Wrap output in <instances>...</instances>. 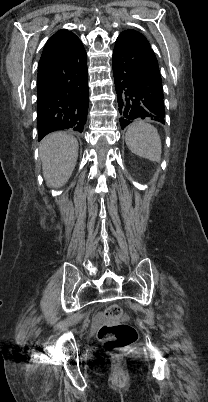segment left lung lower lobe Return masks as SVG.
Returning a JSON list of instances; mask_svg holds the SVG:
<instances>
[{"mask_svg": "<svg viewBox=\"0 0 208 402\" xmlns=\"http://www.w3.org/2000/svg\"><path fill=\"white\" fill-rule=\"evenodd\" d=\"M147 39L135 30L122 32L113 51V73L120 124L135 119L165 123L162 80Z\"/></svg>", "mask_w": 208, "mask_h": 402, "instance_id": "1", "label": "left lung lower lobe"}]
</instances>
